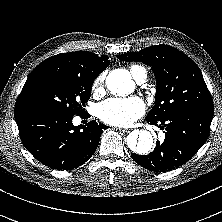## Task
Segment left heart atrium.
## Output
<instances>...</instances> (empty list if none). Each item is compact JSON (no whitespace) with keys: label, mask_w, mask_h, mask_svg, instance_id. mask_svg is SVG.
<instances>
[{"label":"left heart atrium","mask_w":222,"mask_h":222,"mask_svg":"<svg viewBox=\"0 0 222 222\" xmlns=\"http://www.w3.org/2000/svg\"><path fill=\"white\" fill-rule=\"evenodd\" d=\"M145 112L144 102L136 96L128 98H110L97 107L98 117L110 125L128 126Z\"/></svg>","instance_id":"39dd6f15"}]
</instances>
